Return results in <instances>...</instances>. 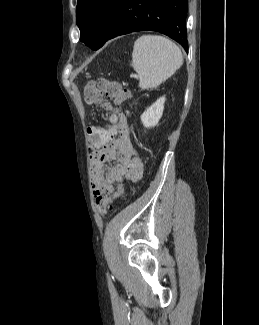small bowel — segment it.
<instances>
[{"mask_svg": "<svg viewBox=\"0 0 259 325\" xmlns=\"http://www.w3.org/2000/svg\"><path fill=\"white\" fill-rule=\"evenodd\" d=\"M107 110L111 113L113 122L105 130L98 128L101 141L97 142V149H91L92 188L95 197L111 194L114 184L122 179L139 180L143 171L142 159L130 140L125 114L111 105ZM112 160H117V163L107 166L106 163Z\"/></svg>", "mask_w": 259, "mask_h": 325, "instance_id": "obj_1", "label": "small bowel"}]
</instances>
